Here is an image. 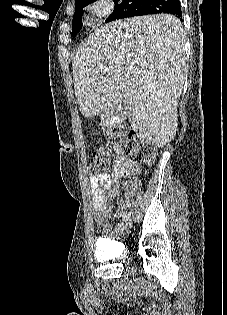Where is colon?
I'll list each match as a JSON object with an SVG mask.
<instances>
[{
    "label": "colon",
    "instance_id": "5ec220e1",
    "mask_svg": "<svg viewBox=\"0 0 227 315\" xmlns=\"http://www.w3.org/2000/svg\"><path fill=\"white\" fill-rule=\"evenodd\" d=\"M110 142L119 143L124 151L140 163L151 164L157 156V149L150 142L139 137L133 130L116 127L108 132ZM108 167V158L105 153L96 151L91 161L93 172H102Z\"/></svg>",
    "mask_w": 227,
    "mask_h": 315
}]
</instances>
